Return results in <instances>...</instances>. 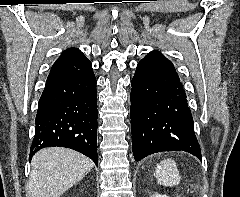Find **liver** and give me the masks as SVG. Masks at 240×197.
<instances>
[{
	"label": "liver",
	"mask_w": 240,
	"mask_h": 197,
	"mask_svg": "<svg viewBox=\"0 0 240 197\" xmlns=\"http://www.w3.org/2000/svg\"><path fill=\"white\" fill-rule=\"evenodd\" d=\"M93 166L88 157L68 148L41 149L32 158L28 197H60Z\"/></svg>",
	"instance_id": "1"
}]
</instances>
